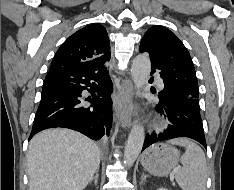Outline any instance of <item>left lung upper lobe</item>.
<instances>
[{"instance_id":"obj_1","label":"left lung upper lobe","mask_w":234,"mask_h":190,"mask_svg":"<svg viewBox=\"0 0 234 190\" xmlns=\"http://www.w3.org/2000/svg\"><path fill=\"white\" fill-rule=\"evenodd\" d=\"M140 52H148L158 63L166 87L200 110L198 83L191 56L179 38L163 26L151 27L143 36Z\"/></svg>"}]
</instances>
